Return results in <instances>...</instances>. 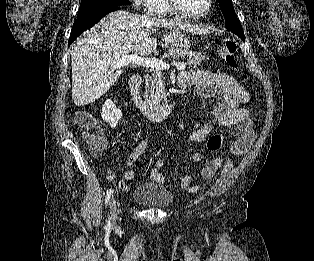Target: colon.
<instances>
[{
	"mask_svg": "<svg viewBox=\"0 0 314 261\" xmlns=\"http://www.w3.org/2000/svg\"><path fill=\"white\" fill-rule=\"evenodd\" d=\"M237 44L234 40H227L217 53L218 56L231 68L237 67ZM243 78L246 76L243 74ZM77 124L84 129V138L94 154H99L106 145L103 133L96 129V121L86 112H78L75 116ZM224 136L221 133L212 135L207 141L209 152H217L223 144Z\"/></svg>",
	"mask_w": 314,
	"mask_h": 261,
	"instance_id": "colon-1",
	"label": "colon"
}]
</instances>
